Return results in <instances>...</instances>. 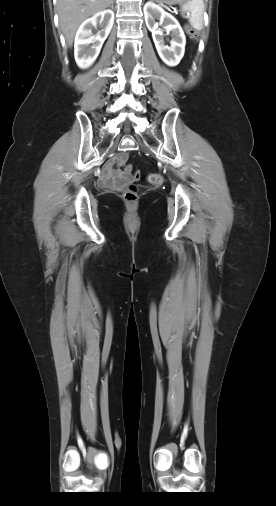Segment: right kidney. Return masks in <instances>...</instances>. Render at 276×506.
<instances>
[{
	"instance_id": "ca27d5eb",
	"label": "right kidney",
	"mask_w": 276,
	"mask_h": 506,
	"mask_svg": "<svg viewBox=\"0 0 276 506\" xmlns=\"http://www.w3.org/2000/svg\"><path fill=\"white\" fill-rule=\"evenodd\" d=\"M113 22L114 12L107 9L97 12L80 25L74 42V57L80 68H88L94 63L112 29ZM98 24L102 29L97 35L92 36V29Z\"/></svg>"
}]
</instances>
